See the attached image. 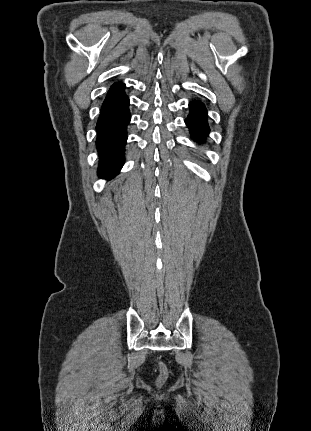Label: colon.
I'll return each instance as SVG.
<instances>
[{
	"instance_id": "1",
	"label": "colon",
	"mask_w": 311,
	"mask_h": 431,
	"mask_svg": "<svg viewBox=\"0 0 311 431\" xmlns=\"http://www.w3.org/2000/svg\"><path fill=\"white\" fill-rule=\"evenodd\" d=\"M157 366H158L159 371H160L159 378L162 381L167 376V368H166V365L162 361H157Z\"/></svg>"
}]
</instances>
